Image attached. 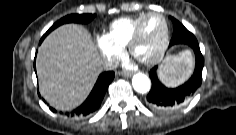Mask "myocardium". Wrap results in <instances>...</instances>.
I'll use <instances>...</instances> for the list:
<instances>
[{
	"label": "myocardium",
	"mask_w": 236,
	"mask_h": 135,
	"mask_svg": "<svg viewBox=\"0 0 236 135\" xmlns=\"http://www.w3.org/2000/svg\"><path fill=\"white\" fill-rule=\"evenodd\" d=\"M151 16H157L158 18H160L162 20L163 26H164L163 40H162V43L159 46L158 50L151 57L139 59L135 56L134 50L140 40L143 25H144L145 21ZM168 44H169V26H168V22H167L166 18L158 12H148L137 23V25L130 37V40L127 44V50H128V53L130 55H132L135 59H137L139 62H141L143 64L151 65V64L158 62L163 57V55L165 54L166 49L168 47Z\"/></svg>",
	"instance_id": "f54148a6"
}]
</instances>
